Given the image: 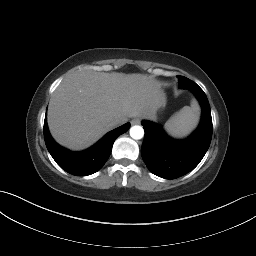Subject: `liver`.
Listing matches in <instances>:
<instances>
[{
	"mask_svg": "<svg viewBox=\"0 0 256 256\" xmlns=\"http://www.w3.org/2000/svg\"><path fill=\"white\" fill-rule=\"evenodd\" d=\"M165 101L161 84L144 74L81 71L68 76L52 94L47 121L61 145L81 150L89 147L128 118H154Z\"/></svg>",
	"mask_w": 256,
	"mask_h": 256,
	"instance_id": "obj_1",
	"label": "liver"
}]
</instances>
